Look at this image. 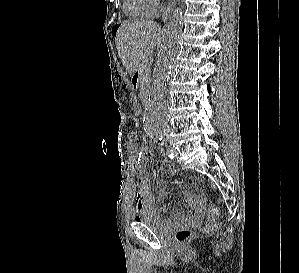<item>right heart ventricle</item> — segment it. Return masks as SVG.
Instances as JSON below:
<instances>
[{
	"instance_id": "obj_1",
	"label": "right heart ventricle",
	"mask_w": 299,
	"mask_h": 273,
	"mask_svg": "<svg viewBox=\"0 0 299 273\" xmlns=\"http://www.w3.org/2000/svg\"><path fill=\"white\" fill-rule=\"evenodd\" d=\"M124 13L132 18L146 19L154 15L155 10L151 8L147 0H124Z\"/></svg>"
}]
</instances>
